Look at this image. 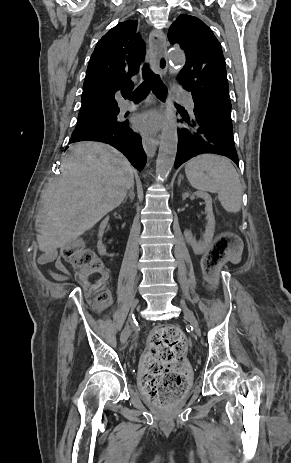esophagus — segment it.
Returning <instances> with one entry per match:
<instances>
[{
  "label": "esophagus",
  "mask_w": 291,
  "mask_h": 463,
  "mask_svg": "<svg viewBox=\"0 0 291 463\" xmlns=\"http://www.w3.org/2000/svg\"><path fill=\"white\" fill-rule=\"evenodd\" d=\"M149 46L154 69L161 75L168 67L166 37L162 31L153 29L149 36ZM142 144L148 157H153L159 144L158 137L142 136Z\"/></svg>",
  "instance_id": "34e87169"
}]
</instances>
